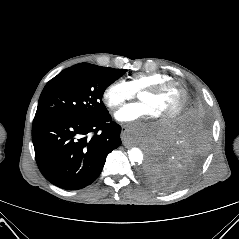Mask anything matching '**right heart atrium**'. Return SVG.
I'll list each match as a JSON object with an SVG mask.
<instances>
[{"label":"right heart atrium","mask_w":239,"mask_h":239,"mask_svg":"<svg viewBox=\"0 0 239 239\" xmlns=\"http://www.w3.org/2000/svg\"><path fill=\"white\" fill-rule=\"evenodd\" d=\"M134 96L135 93L126 81L115 80L104 89L102 99L105 105L115 112Z\"/></svg>","instance_id":"obj_1"}]
</instances>
